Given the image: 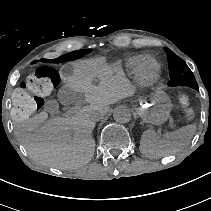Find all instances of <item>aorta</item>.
Instances as JSON below:
<instances>
[{
	"mask_svg": "<svg viewBox=\"0 0 211 211\" xmlns=\"http://www.w3.org/2000/svg\"><path fill=\"white\" fill-rule=\"evenodd\" d=\"M113 117L118 123H128L131 120V111L126 106H118L113 111Z\"/></svg>",
	"mask_w": 211,
	"mask_h": 211,
	"instance_id": "762f6f07",
	"label": "aorta"
}]
</instances>
